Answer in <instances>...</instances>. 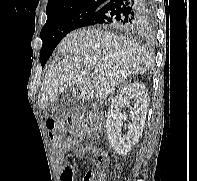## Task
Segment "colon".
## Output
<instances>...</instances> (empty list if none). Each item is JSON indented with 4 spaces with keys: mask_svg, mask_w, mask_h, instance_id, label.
I'll return each instance as SVG.
<instances>
[{
    "mask_svg": "<svg viewBox=\"0 0 197 181\" xmlns=\"http://www.w3.org/2000/svg\"><path fill=\"white\" fill-rule=\"evenodd\" d=\"M93 125L94 121L86 118L83 114L71 116L67 120L49 119L46 123L50 140L56 149L62 145L66 126L69 127L72 135L82 136L89 132ZM95 163L97 166H102L105 163V157L99 156ZM82 181H93V173L91 171L86 172L83 175Z\"/></svg>",
    "mask_w": 197,
    "mask_h": 181,
    "instance_id": "1",
    "label": "colon"
}]
</instances>
